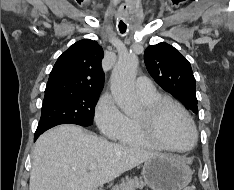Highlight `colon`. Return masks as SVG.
<instances>
[{"instance_id": "5ec220e1", "label": "colon", "mask_w": 234, "mask_h": 190, "mask_svg": "<svg viewBox=\"0 0 234 190\" xmlns=\"http://www.w3.org/2000/svg\"><path fill=\"white\" fill-rule=\"evenodd\" d=\"M184 190H195L194 187H186Z\"/></svg>"}]
</instances>
